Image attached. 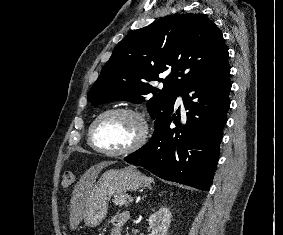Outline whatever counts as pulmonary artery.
<instances>
[{
    "mask_svg": "<svg viewBox=\"0 0 283 235\" xmlns=\"http://www.w3.org/2000/svg\"><path fill=\"white\" fill-rule=\"evenodd\" d=\"M182 103H183V102H182V97L179 96L178 99H177V104H178V105H182Z\"/></svg>",
    "mask_w": 283,
    "mask_h": 235,
    "instance_id": "e3ab8cb5",
    "label": "pulmonary artery"
}]
</instances>
